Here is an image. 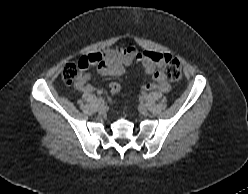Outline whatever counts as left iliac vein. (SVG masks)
<instances>
[{
    "instance_id": "4c4485c4",
    "label": "left iliac vein",
    "mask_w": 248,
    "mask_h": 194,
    "mask_svg": "<svg viewBox=\"0 0 248 194\" xmlns=\"http://www.w3.org/2000/svg\"><path fill=\"white\" fill-rule=\"evenodd\" d=\"M138 110L141 114H144V115L147 114L148 112V108L145 104L139 105Z\"/></svg>"
}]
</instances>
